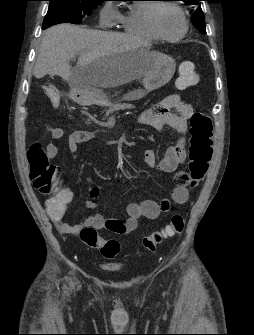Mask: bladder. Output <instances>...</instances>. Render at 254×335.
<instances>
[{
	"mask_svg": "<svg viewBox=\"0 0 254 335\" xmlns=\"http://www.w3.org/2000/svg\"><path fill=\"white\" fill-rule=\"evenodd\" d=\"M103 269L105 271H108V272H114V271H118L119 269L116 268V267H110V266H104Z\"/></svg>",
	"mask_w": 254,
	"mask_h": 335,
	"instance_id": "obj_1",
	"label": "bladder"
}]
</instances>
